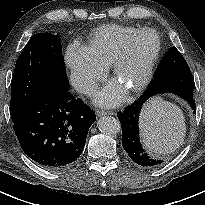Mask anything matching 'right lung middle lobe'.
<instances>
[{
  "mask_svg": "<svg viewBox=\"0 0 205 205\" xmlns=\"http://www.w3.org/2000/svg\"><path fill=\"white\" fill-rule=\"evenodd\" d=\"M68 89L60 35H33L17 59L11 81L12 121L45 94Z\"/></svg>",
  "mask_w": 205,
  "mask_h": 205,
  "instance_id": "dd1d6c3e",
  "label": "right lung middle lobe"
}]
</instances>
